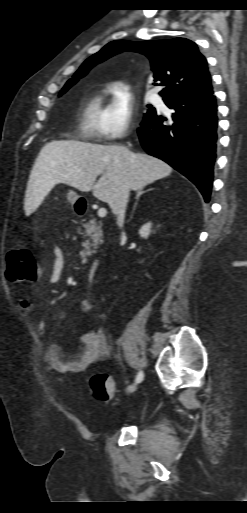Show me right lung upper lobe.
Masks as SVG:
<instances>
[{"mask_svg":"<svg viewBox=\"0 0 247 513\" xmlns=\"http://www.w3.org/2000/svg\"><path fill=\"white\" fill-rule=\"evenodd\" d=\"M121 51H134L150 58L154 85L165 86L160 91L163 100L207 97L213 94L206 58L197 45L184 38L153 41L115 40L89 57L73 75L83 77L94 65Z\"/></svg>","mask_w":247,"mask_h":513,"instance_id":"1","label":"right lung upper lobe"}]
</instances>
